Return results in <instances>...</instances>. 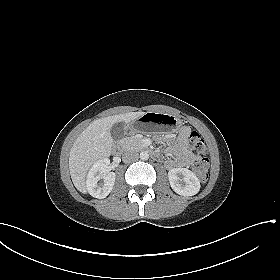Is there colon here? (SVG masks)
<instances>
[{
	"label": "colon",
	"mask_w": 280,
	"mask_h": 280,
	"mask_svg": "<svg viewBox=\"0 0 280 280\" xmlns=\"http://www.w3.org/2000/svg\"><path fill=\"white\" fill-rule=\"evenodd\" d=\"M188 144L190 149L198 154H205L207 151L206 144L203 138L197 131L191 130L188 134ZM193 171L201 181H205L208 178L209 161L206 158H202L196 162L193 166Z\"/></svg>",
	"instance_id": "1"
}]
</instances>
